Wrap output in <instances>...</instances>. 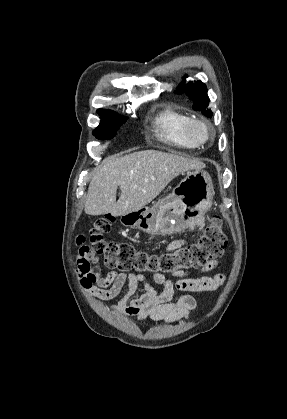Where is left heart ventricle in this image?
Returning a JSON list of instances; mask_svg holds the SVG:
<instances>
[{
    "label": "left heart ventricle",
    "instance_id": "obj_1",
    "mask_svg": "<svg viewBox=\"0 0 287 419\" xmlns=\"http://www.w3.org/2000/svg\"><path fill=\"white\" fill-rule=\"evenodd\" d=\"M193 133L197 138H202L205 136V132L201 127H195Z\"/></svg>",
    "mask_w": 287,
    "mask_h": 419
}]
</instances>
